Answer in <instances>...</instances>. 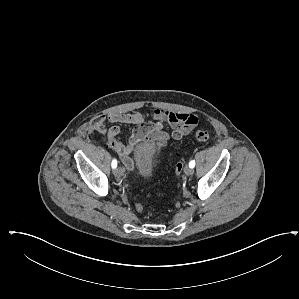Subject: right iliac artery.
Listing matches in <instances>:
<instances>
[{
  "mask_svg": "<svg viewBox=\"0 0 299 299\" xmlns=\"http://www.w3.org/2000/svg\"><path fill=\"white\" fill-rule=\"evenodd\" d=\"M111 166H112L113 169H115L117 167L116 159H113Z\"/></svg>",
  "mask_w": 299,
  "mask_h": 299,
  "instance_id": "obj_1",
  "label": "right iliac artery"
}]
</instances>
